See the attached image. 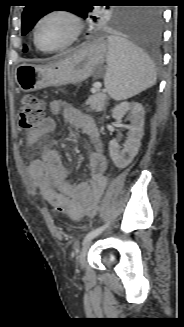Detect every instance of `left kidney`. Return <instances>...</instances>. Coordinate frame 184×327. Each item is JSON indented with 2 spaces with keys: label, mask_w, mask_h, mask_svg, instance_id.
Listing matches in <instances>:
<instances>
[{
  "label": "left kidney",
  "mask_w": 184,
  "mask_h": 327,
  "mask_svg": "<svg viewBox=\"0 0 184 327\" xmlns=\"http://www.w3.org/2000/svg\"><path fill=\"white\" fill-rule=\"evenodd\" d=\"M130 113L131 123L126 126L129 130L124 148L120 150L115 140L109 142V153L115 166L123 169L127 167L137 155L141 146L144 125V108L137 102H122L112 110V117L120 120L125 113Z\"/></svg>",
  "instance_id": "obj_1"
}]
</instances>
